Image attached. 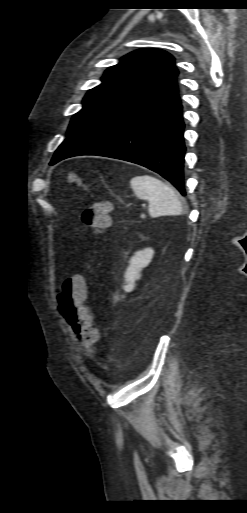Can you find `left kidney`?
Returning a JSON list of instances; mask_svg holds the SVG:
<instances>
[{
    "label": "left kidney",
    "mask_w": 247,
    "mask_h": 513,
    "mask_svg": "<svg viewBox=\"0 0 247 513\" xmlns=\"http://www.w3.org/2000/svg\"><path fill=\"white\" fill-rule=\"evenodd\" d=\"M154 255L152 248H144L134 253L129 261L124 274L125 285L123 289L125 292H131L135 288V281L140 279V272L143 268L147 267L151 262Z\"/></svg>",
    "instance_id": "1"
}]
</instances>
